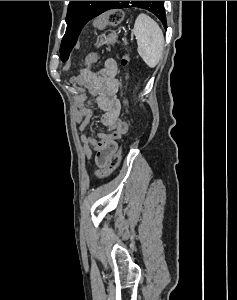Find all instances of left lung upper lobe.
Masks as SVG:
<instances>
[{"label":"left lung upper lobe","instance_id":"obj_1","mask_svg":"<svg viewBox=\"0 0 237 300\" xmlns=\"http://www.w3.org/2000/svg\"><path fill=\"white\" fill-rule=\"evenodd\" d=\"M110 1H70L66 16L67 28L60 46L61 60L66 61L75 46L83 27L103 13ZM163 3V1H162ZM143 8L152 12L167 26L165 11L161 12L160 1H120V8Z\"/></svg>","mask_w":237,"mask_h":300}]
</instances>
